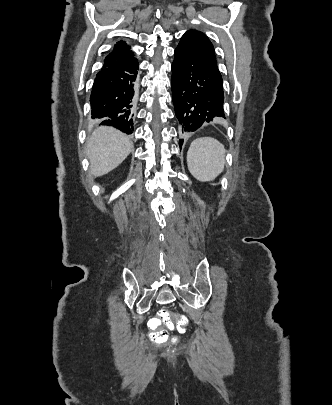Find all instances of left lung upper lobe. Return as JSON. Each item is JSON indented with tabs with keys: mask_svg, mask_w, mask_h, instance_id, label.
Here are the masks:
<instances>
[{
	"mask_svg": "<svg viewBox=\"0 0 332 405\" xmlns=\"http://www.w3.org/2000/svg\"><path fill=\"white\" fill-rule=\"evenodd\" d=\"M179 45L188 48L217 67L214 47L204 33L196 30H189L182 36Z\"/></svg>",
	"mask_w": 332,
	"mask_h": 405,
	"instance_id": "5c2ea615",
	"label": "left lung upper lobe"
}]
</instances>
